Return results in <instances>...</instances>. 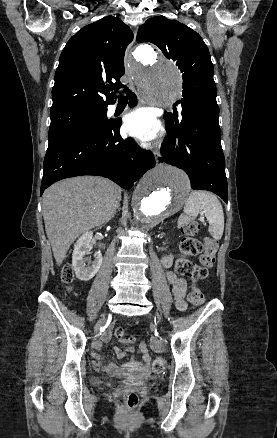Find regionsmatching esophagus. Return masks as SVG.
<instances>
[{
  "label": "esophagus",
  "mask_w": 277,
  "mask_h": 438,
  "mask_svg": "<svg viewBox=\"0 0 277 438\" xmlns=\"http://www.w3.org/2000/svg\"><path fill=\"white\" fill-rule=\"evenodd\" d=\"M135 39H136V32L134 31L133 42L135 41ZM131 55H132V49H131V46H128L127 49H126V56L130 57ZM139 101L143 102L142 98H139Z\"/></svg>",
  "instance_id": "esophagus-1"
}]
</instances>
